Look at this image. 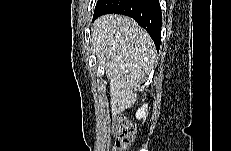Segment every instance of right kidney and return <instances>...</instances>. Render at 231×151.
<instances>
[{"mask_svg": "<svg viewBox=\"0 0 231 151\" xmlns=\"http://www.w3.org/2000/svg\"><path fill=\"white\" fill-rule=\"evenodd\" d=\"M147 104H144L141 108H139L136 112V118L139 119H145L147 116Z\"/></svg>", "mask_w": 231, "mask_h": 151, "instance_id": "1", "label": "right kidney"}]
</instances>
